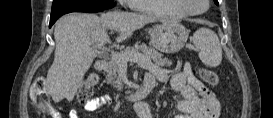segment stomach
Instances as JSON below:
<instances>
[{
    "label": "stomach",
    "mask_w": 273,
    "mask_h": 118,
    "mask_svg": "<svg viewBox=\"0 0 273 118\" xmlns=\"http://www.w3.org/2000/svg\"><path fill=\"white\" fill-rule=\"evenodd\" d=\"M189 31L177 21H163L151 30V44L164 53H175L183 48Z\"/></svg>",
    "instance_id": "1"
}]
</instances>
